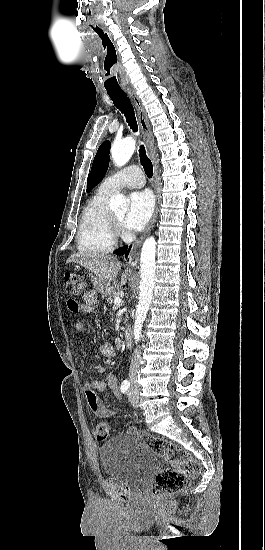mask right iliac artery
I'll return each mask as SVG.
<instances>
[{"mask_svg":"<svg viewBox=\"0 0 265 550\" xmlns=\"http://www.w3.org/2000/svg\"><path fill=\"white\" fill-rule=\"evenodd\" d=\"M130 387V382L127 380H124L120 386V390L122 393H125Z\"/></svg>","mask_w":265,"mask_h":550,"instance_id":"82829eb1","label":"right iliac artery"}]
</instances>
